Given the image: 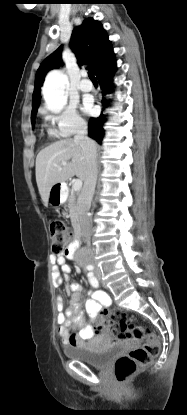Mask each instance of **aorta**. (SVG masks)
<instances>
[{
    "label": "aorta",
    "mask_w": 187,
    "mask_h": 415,
    "mask_svg": "<svg viewBox=\"0 0 187 415\" xmlns=\"http://www.w3.org/2000/svg\"><path fill=\"white\" fill-rule=\"evenodd\" d=\"M67 82L68 77L61 70H52L47 74L42 93L49 111L60 113L67 104V96L65 94Z\"/></svg>",
    "instance_id": "1"
}]
</instances>
